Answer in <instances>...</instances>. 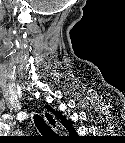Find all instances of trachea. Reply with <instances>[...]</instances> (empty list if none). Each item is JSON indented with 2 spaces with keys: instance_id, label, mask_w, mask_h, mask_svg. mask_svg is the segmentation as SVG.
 I'll list each match as a JSON object with an SVG mask.
<instances>
[{
  "instance_id": "1",
  "label": "trachea",
  "mask_w": 125,
  "mask_h": 143,
  "mask_svg": "<svg viewBox=\"0 0 125 143\" xmlns=\"http://www.w3.org/2000/svg\"><path fill=\"white\" fill-rule=\"evenodd\" d=\"M34 122L37 129L43 136H47V137L54 136V133L52 132V130L49 128V126L45 123V121L40 116L38 115L34 116Z\"/></svg>"
}]
</instances>
